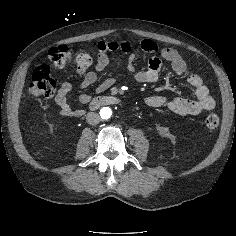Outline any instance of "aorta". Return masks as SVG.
I'll use <instances>...</instances> for the list:
<instances>
[{"label": "aorta", "mask_w": 236, "mask_h": 236, "mask_svg": "<svg viewBox=\"0 0 236 236\" xmlns=\"http://www.w3.org/2000/svg\"><path fill=\"white\" fill-rule=\"evenodd\" d=\"M100 116L102 119H109L112 116V110L109 107H103L100 110Z\"/></svg>", "instance_id": "obj_1"}]
</instances>
